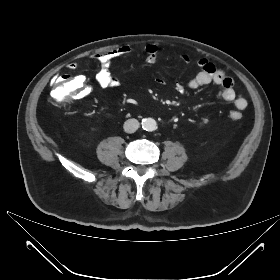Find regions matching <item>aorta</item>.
Here are the masks:
<instances>
[{
  "mask_svg": "<svg viewBox=\"0 0 280 280\" xmlns=\"http://www.w3.org/2000/svg\"><path fill=\"white\" fill-rule=\"evenodd\" d=\"M142 127L146 131H154L157 128V123L153 118H145L142 121Z\"/></svg>",
  "mask_w": 280,
  "mask_h": 280,
  "instance_id": "1",
  "label": "aorta"
}]
</instances>
